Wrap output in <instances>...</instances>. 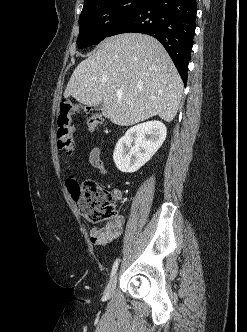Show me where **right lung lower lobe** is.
I'll use <instances>...</instances> for the list:
<instances>
[{
	"instance_id": "98d812e1",
	"label": "right lung lower lobe",
	"mask_w": 247,
	"mask_h": 332,
	"mask_svg": "<svg viewBox=\"0 0 247 332\" xmlns=\"http://www.w3.org/2000/svg\"><path fill=\"white\" fill-rule=\"evenodd\" d=\"M196 13V0H147L120 19L108 37L127 32L155 37L170 55L186 86Z\"/></svg>"
}]
</instances>
